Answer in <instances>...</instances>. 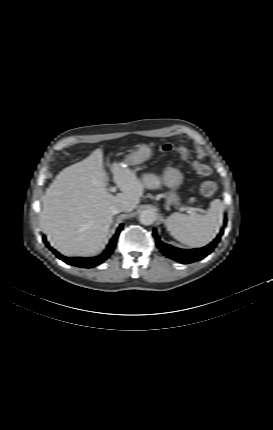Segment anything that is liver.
Instances as JSON below:
<instances>
[{
	"label": "liver",
	"instance_id": "liver-1",
	"mask_svg": "<svg viewBox=\"0 0 273 430\" xmlns=\"http://www.w3.org/2000/svg\"><path fill=\"white\" fill-rule=\"evenodd\" d=\"M113 179L122 193L106 188L103 152L94 150L86 159L62 170L46 191L41 212L43 232L50 245L66 256H91L103 247L113 222L110 207L116 203L133 211L144 186L135 172L114 162Z\"/></svg>",
	"mask_w": 273,
	"mask_h": 430
}]
</instances>
